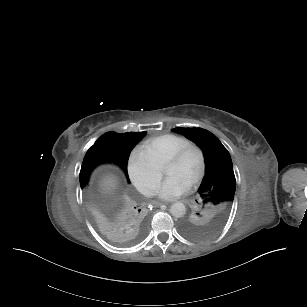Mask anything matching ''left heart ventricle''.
<instances>
[{
    "instance_id": "left-heart-ventricle-1",
    "label": "left heart ventricle",
    "mask_w": 307,
    "mask_h": 307,
    "mask_svg": "<svg viewBox=\"0 0 307 307\" xmlns=\"http://www.w3.org/2000/svg\"><path fill=\"white\" fill-rule=\"evenodd\" d=\"M201 164V152L198 148H194L179 162H164L161 171L166 176L176 175L189 183L190 180L200 171Z\"/></svg>"
}]
</instances>
